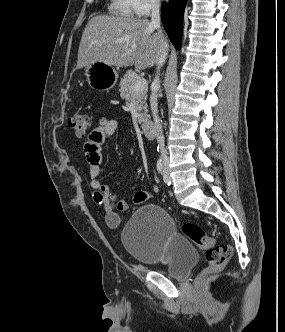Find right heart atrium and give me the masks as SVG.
I'll list each match as a JSON object with an SVG mask.
<instances>
[{
	"label": "right heart atrium",
	"instance_id": "d8ad5b80",
	"mask_svg": "<svg viewBox=\"0 0 285 332\" xmlns=\"http://www.w3.org/2000/svg\"><path fill=\"white\" fill-rule=\"evenodd\" d=\"M133 10L137 15L146 16L160 6L161 0H131Z\"/></svg>",
	"mask_w": 285,
	"mask_h": 332
}]
</instances>
